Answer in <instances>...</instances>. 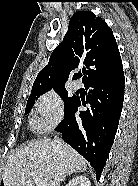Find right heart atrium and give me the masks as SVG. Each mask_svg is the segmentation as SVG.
Segmentation results:
<instances>
[{
  "label": "right heart atrium",
  "instance_id": "obj_1",
  "mask_svg": "<svg viewBox=\"0 0 138 186\" xmlns=\"http://www.w3.org/2000/svg\"><path fill=\"white\" fill-rule=\"evenodd\" d=\"M63 101L60 95L50 90L37 100L35 105V127L42 132L55 128L63 119Z\"/></svg>",
  "mask_w": 138,
  "mask_h": 186
}]
</instances>
